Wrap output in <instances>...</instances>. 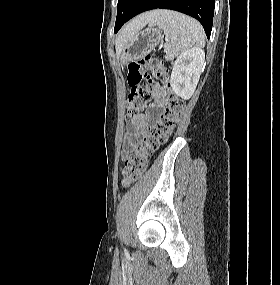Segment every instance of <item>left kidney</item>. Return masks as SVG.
<instances>
[{
  "instance_id": "left-kidney-1",
  "label": "left kidney",
  "mask_w": 280,
  "mask_h": 285,
  "mask_svg": "<svg viewBox=\"0 0 280 285\" xmlns=\"http://www.w3.org/2000/svg\"><path fill=\"white\" fill-rule=\"evenodd\" d=\"M204 60L205 53L199 47L185 51L176 59L170 84L177 96L185 100L191 98L199 81Z\"/></svg>"
}]
</instances>
